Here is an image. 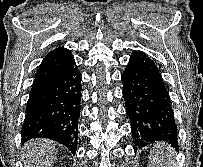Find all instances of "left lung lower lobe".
<instances>
[{
	"label": "left lung lower lobe",
	"instance_id": "left-lung-lower-lobe-1",
	"mask_svg": "<svg viewBox=\"0 0 203 167\" xmlns=\"http://www.w3.org/2000/svg\"><path fill=\"white\" fill-rule=\"evenodd\" d=\"M121 80L134 149L167 142L178 149V131L169 94L156 64L135 51Z\"/></svg>",
	"mask_w": 203,
	"mask_h": 167
}]
</instances>
